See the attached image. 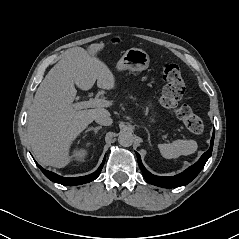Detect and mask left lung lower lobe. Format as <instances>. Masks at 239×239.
<instances>
[{
  "label": "left lung lower lobe",
  "mask_w": 239,
  "mask_h": 239,
  "mask_svg": "<svg viewBox=\"0 0 239 239\" xmlns=\"http://www.w3.org/2000/svg\"><path fill=\"white\" fill-rule=\"evenodd\" d=\"M214 135H215V131H213L211 145L208 151H206L194 165L190 166L184 172L172 177H161V176H155L151 174L143 166L140 155L136 152L140 169L146 181L149 182L150 184L164 187V188H175V187L184 186L190 183L199 174V172L202 170L207 160L210 158L212 149H213Z\"/></svg>",
  "instance_id": "left-lung-lower-lobe-1"
}]
</instances>
